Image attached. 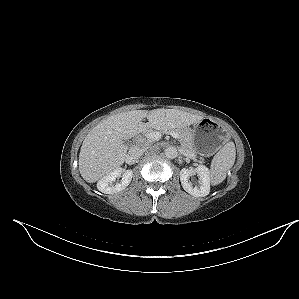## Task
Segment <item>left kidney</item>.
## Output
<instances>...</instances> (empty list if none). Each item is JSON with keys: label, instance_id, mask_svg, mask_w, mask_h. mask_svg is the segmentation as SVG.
<instances>
[{"label": "left kidney", "instance_id": "left-kidney-1", "mask_svg": "<svg viewBox=\"0 0 299 299\" xmlns=\"http://www.w3.org/2000/svg\"><path fill=\"white\" fill-rule=\"evenodd\" d=\"M196 172L199 178V184L195 187L189 182V176ZM180 181L183 189L194 197H205L210 192V172L205 165H198L197 168L180 171Z\"/></svg>", "mask_w": 299, "mask_h": 299}]
</instances>
